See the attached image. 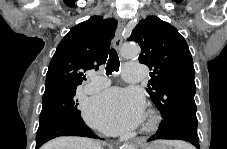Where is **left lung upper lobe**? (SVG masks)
Segmentation results:
<instances>
[{"label":"left lung upper lobe","mask_w":227,"mask_h":149,"mask_svg":"<svg viewBox=\"0 0 227 149\" xmlns=\"http://www.w3.org/2000/svg\"><path fill=\"white\" fill-rule=\"evenodd\" d=\"M127 40L141 47L139 62L151 70L146 90L162 116L196 117L193 60L177 29L156 16H148L140 20Z\"/></svg>","instance_id":"5c2ea615"}]
</instances>
